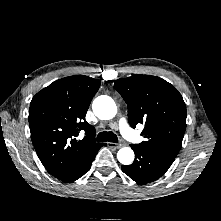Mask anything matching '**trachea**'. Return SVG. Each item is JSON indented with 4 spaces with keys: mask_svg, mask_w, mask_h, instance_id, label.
<instances>
[{
    "mask_svg": "<svg viewBox=\"0 0 221 221\" xmlns=\"http://www.w3.org/2000/svg\"><path fill=\"white\" fill-rule=\"evenodd\" d=\"M97 141L98 142H113V143H118V138L117 135L114 134L112 131L109 132H100L97 135Z\"/></svg>",
    "mask_w": 221,
    "mask_h": 221,
    "instance_id": "3493384b",
    "label": "trachea"
}]
</instances>
